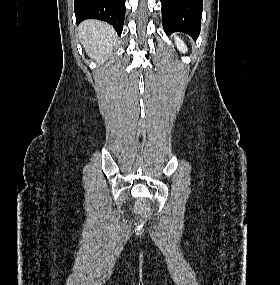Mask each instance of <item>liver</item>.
Wrapping results in <instances>:
<instances>
[{
	"label": "liver",
	"mask_w": 280,
	"mask_h": 285,
	"mask_svg": "<svg viewBox=\"0 0 280 285\" xmlns=\"http://www.w3.org/2000/svg\"><path fill=\"white\" fill-rule=\"evenodd\" d=\"M78 30L86 53L103 64L109 58L116 42L114 29L104 22L87 20L81 23Z\"/></svg>",
	"instance_id": "obj_1"
}]
</instances>
